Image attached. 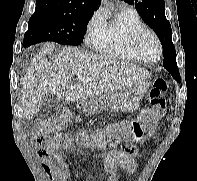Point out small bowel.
Wrapping results in <instances>:
<instances>
[{"label":"small bowel","instance_id":"small-bowel-1","mask_svg":"<svg viewBox=\"0 0 197 181\" xmlns=\"http://www.w3.org/2000/svg\"><path fill=\"white\" fill-rule=\"evenodd\" d=\"M125 140L130 139V135L124 133ZM35 144L38 146L37 155L44 162V168L49 173L59 177L61 181H65L70 176V168L64 159L60 147L53 148L48 145L45 148L39 147L41 141L34 138ZM134 140V139H133ZM135 141V140H134ZM126 149H113L106 153L103 162V171L107 174V181H117V174L119 168H124L129 172H133L135 169V156L138 153L136 146L129 145ZM69 150V148H65ZM104 153L103 150H84L83 154L89 157H99ZM52 162L56 163V166L52 165ZM97 176L101 178L103 173L97 171Z\"/></svg>","mask_w":197,"mask_h":181}]
</instances>
